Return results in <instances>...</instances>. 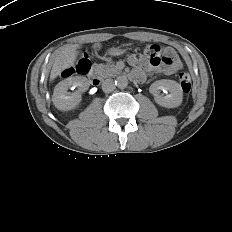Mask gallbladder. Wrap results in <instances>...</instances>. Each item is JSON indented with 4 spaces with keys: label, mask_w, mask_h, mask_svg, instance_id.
<instances>
[{
    "label": "gallbladder",
    "mask_w": 232,
    "mask_h": 232,
    "mask_svg": "<svg viewBox=\"0 0 232 232\" xmlns=\"http://www.w3.org/2000/svg\"><path fill=\"white\" fill-rule=\"evenodd\" d=\"M93 48H94L95 50H99V49L101 48V46H100V44H95V45L93 46Z\"/></svg>",
    "instance_id": "gallbladder-1"
}]
</instances>
